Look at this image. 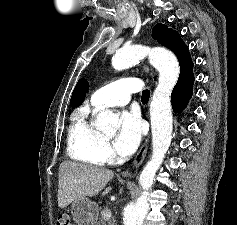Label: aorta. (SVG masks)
Wrapping results in <instances>:
<instances>
[{"instance_id":"aorta-1","label":"aorta","mask_w":237,"mask_h":225,"mask_svg":"<svg viewBox=\"0 0 237 225\" xmlns=\"http://www.w3.org/2000/svg\"><path fill=\"white\" fill-rule=\"evenodd\" d=\"M145 57L158 70L159 78L150 104V120L152 130V156L143 168L139 183L143 193L136 203L127 205L124 209V225H142L148 212V190L152 187L157 170L160 168L164 156L168 151L173 130L171 93L177 83L180 68L175 55L163 48H149L133 45L116 51L112 59V66L116 70H123L138 64ZM118 118L110 110L101 111L95 126L104 133L116 131Z\"/></svg>"}]
</instances>
